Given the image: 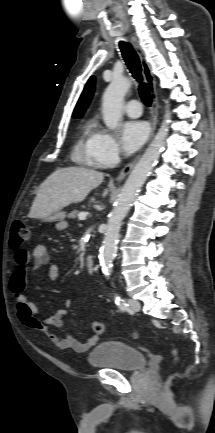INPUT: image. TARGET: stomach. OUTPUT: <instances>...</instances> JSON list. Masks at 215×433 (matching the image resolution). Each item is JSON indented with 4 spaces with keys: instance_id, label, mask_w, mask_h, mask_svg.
Listing matches in <instances>:
<instances>
[{
    "instance_id": "stomach-1",
    "label": "stomach",
    "mask_w": 215,
    "mask_h": 433,
    "mask_svg": "<svg viewBox=\"0 0 215 433\" xmlns=\"http://www.w3.org/2000/svg\"><path fill=\"white\" fill-rule=\"evenodd\" d=\"M64 218H65V213L63 211L59 210L57 212H54L53 214H51L50 216H48L44 220L61 222L64 220Z\"/></svg>"
}]
</instances>
